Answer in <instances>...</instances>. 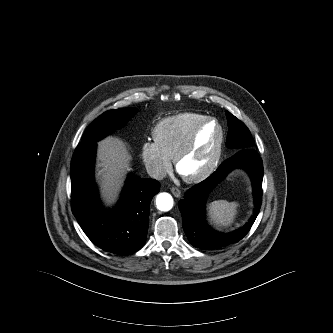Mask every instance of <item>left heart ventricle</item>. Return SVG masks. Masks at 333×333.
I'll list each match as a JSON object with an SVG mask.
<instances>
[{"mask_svg": "<svg viewBox=\"0 0 333 333\" xmlns=\"http://www.w3.org/2000/svg\"><path fill=\"white\" fill-rule=\"evenodd\" d=\"M219 139V130L215 124L205 126L197 136L192 150L180 163L183 175L191 176L201 172L211 162Z\"/></svg>", "mask_w": 333, "mask_h": 333, "instance_id": "b2bd125f", "label": "left heart ventricle"}]
</instances>
